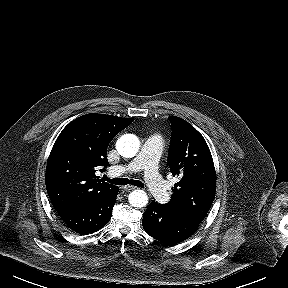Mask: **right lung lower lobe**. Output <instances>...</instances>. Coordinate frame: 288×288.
Returning <instances> with one entry per match:
<instances>
[{
  "mask_svg": "<svg viewBox=\"0 0 288 288\" xmlns=\"http://www.w3.org/2000/svg\"><path fill=\"white\" fill-rule=\"evenodd\" d=\"M119 188L85 205L58 211L66 225L81 235L94 233L107 224L112 216Z\"/></svg>",
  "mask_w": 288,
  "mask_h": 288,
  "instance_id": "98d812e1",
  "label": "right lung lower lobe"
}]
</instances>
